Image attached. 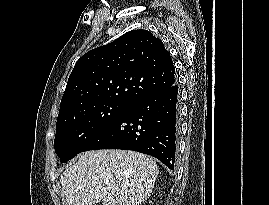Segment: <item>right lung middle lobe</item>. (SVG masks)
Masks as SVG:
<instances>
[{
	"instance_id": "dd1d6c3e",
	"label": "right lung middle lobe",
	"mask_w": 269,
	"mask_h": 205,
	"mask_svg": "<svg viewBox=\"0 0 269 205\" xmlns=\"http://www.w3.org/2000/svg\"><path fill=\"white\" fill-rule=\"evenodd\" d=\"M129 104L101 102L57 120L54 140L55 152L61 162H67L83 148Z\"/></svg>"
}]
</instances>
